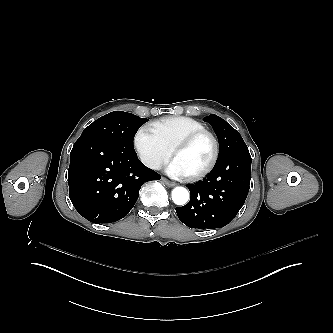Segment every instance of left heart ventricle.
<instances>
[{
	"instance_id": "1",
	"label": "left heart ventricle",
	"mask_w": 333,
	"mask_h": 333,
	"mask_svg": "<svg viewBox=\"0 0 333 333\" xmlns=\"http://www.w3.org/2000/svg\"><path fill=\"white\" fill-rule=\"evenodd\" d=\"M213 154V144L208 136H202L189 147L176 152L172 159L186 172L187 176L204 167Z\"/></svg>"
}]
</instances>
